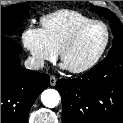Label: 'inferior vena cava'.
Masks as SVG:
<instances>
[{
  "label": "inferior vena cava",
  "instance_id": "602c4592",
  "mask_svg": "<svg viewBox=\"0 0 123 123\" xmlns=\"http://www.w3.org/2000/svg\"><path fill=\"white\" fill-rule=\"evenodd\" d=\"M25 68L29 70H40L44 67V60L39 57H28L24 62Z\"/></svg>",
  "mask_w": 123,
  "mask_h": 123
}]
</instances>
